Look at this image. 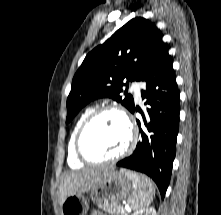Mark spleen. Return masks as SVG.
Listing matches in <instances>:
<instances>
[{
	"label": "spleen",
	"instance_id": "obj_1",
	"mask_svg": "<svg viewBox=\"0 0 221 215\" xmlns=\"http://www.w3.org/2000/svg\"><path fill=\"white\" fill-rule=\"evenodd\" d=\"M144 176V175H143ZM134 191L128 199L130 208L138 211L150 205L153 200L154 187L151 180L144 176L142 182L137 175H134Z\"/></svg>",
	"mask_w": 221,
	"mask_h": 215
}]
</instances>
